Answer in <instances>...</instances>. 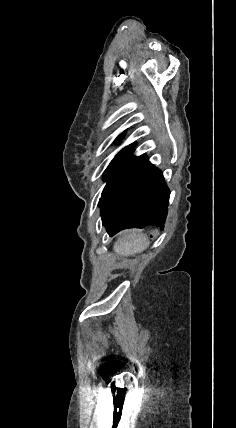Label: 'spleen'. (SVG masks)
<instances>
[{
	"instance_id": "obj_1",
	"label": "spleen",
	"mask_w": 236,
	"mask_h": 428,
	"mask_svg": "<svg viewBox=\"0 0 236 428\" xmlns=\"http://www.w3.org/2000/svg\"><path fill=\"white\" fill-rule=\"evenodd\" d=\"M149 240L141 230H127L123 238L117 240L114 250L120 256H130V254H139L147 248Z\"/></svg>"
}]
</instances>
